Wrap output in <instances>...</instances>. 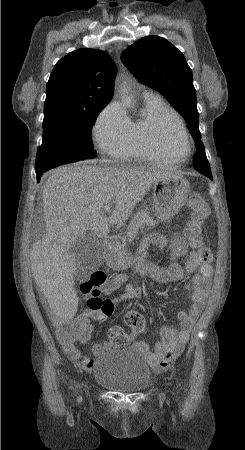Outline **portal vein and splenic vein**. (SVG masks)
Segmentation results:
<instances>
[{
  "label": "portal vein and splenic vein",
  "mask_w": 245,
  "mask_h": 450,
  "mask_svg": "<svg viewBox=\"0 0 245 450\" xmlns=\"http://www.w3.org/2000/svg\"><path fill=\"white\" fill-rule=\"evenodd\" d=\"M103 211L104 212H110L111 211V206L110 205L104 206Z\"/></svg>",
  "instance_id": "obj_1"
}]
</instances>
